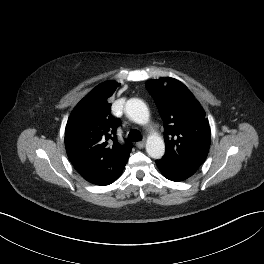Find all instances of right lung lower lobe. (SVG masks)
<instances>
[{
	"label": "right lung lower lobe",
	"instance_id": "1",
	"mask_svg": "<svg viewBox=\"0 0 264 264\" xmlns=\"http://www.w3.org/2000/svg\"><path fill=\"white\" fill-rule=\"evenodd\" d=\"M125 165L115 170H111L104 165L76 167V169L88 182L105 186L111 184L120 177Z\"/></svg>",
	"mask_w": 264,
	"mask_h": 264
}]
</instances>
